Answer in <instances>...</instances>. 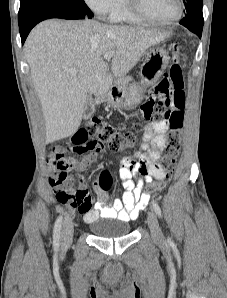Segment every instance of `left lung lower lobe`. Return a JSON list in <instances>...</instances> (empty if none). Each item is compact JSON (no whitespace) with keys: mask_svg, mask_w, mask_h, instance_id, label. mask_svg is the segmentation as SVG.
<instances>
[{"mask_svg":"<svg viewBox=\"0 0 227 298\" xmlns=\"http://www.w3.org/2000/svg\"><path fill=\"white\" fill-rule=\"evenodd\" d=\"M196 34L201 37L202 32H196Z\"/></svg>","mask_w":227,"mask_h":298,"instance_id":"left-lung-lower-lobe-1","label":"left lung lower lobe"}]
</instances>
